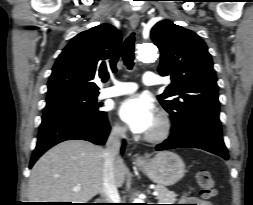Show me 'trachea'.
Wrapping results in <instances>:
<instances>
[{
    "instance_id": "3493384b",
    "label": "trachea",
    "mask_w": 253,
    "mask_h": 205,
    "mask_svg": "<svg viewBox=\"0 0 253 205\" xmlns=\"http://www.w3.org/2000/svg\"><path fill=\"white\" fill-rule=\"evenodd\" d=\"M134 41L135 34L131 33L122 46V58L128 69H132L134 66Z\"/></svg>"
}]
</instances>
